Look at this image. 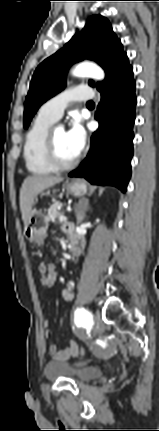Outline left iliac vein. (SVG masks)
<instances>
[{"mask_svg":"<svg viewBox=\"0 0 159 431\" xmlns=\"http://www.w3.org/2000/svg\"><path fill=\"white\" fill-rule=\"evenodd\" d=\"M93 319H94V322H95V324H96L97 326H101L102 321H101V317H100V315L95 314Z\"/></svg>","mask_w":159,"mask_h":431,"instance_id":"left-iliac-vein-1","label":"left iliac vein"}]
</instances>
